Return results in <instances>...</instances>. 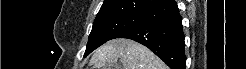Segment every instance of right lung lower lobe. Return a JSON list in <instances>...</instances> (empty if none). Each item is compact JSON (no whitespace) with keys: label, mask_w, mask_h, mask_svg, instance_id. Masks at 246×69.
<instances>
[{"label":"right lung lower lobe","mask_w":246,"mask_h":69,"mask_svg":"<svg viewBox=\"0 0 246 69\" xmlns=\"http://www.w3.org/2000/svg\"><path fill=\"white\" fill-rule=\"evenodd\" d=\"M117 38L132 39L148 47L171 69H185L182 18L174 0L142 14V20Z\"/></svg>","instance_id":"98d812e1"}]
</instances>
